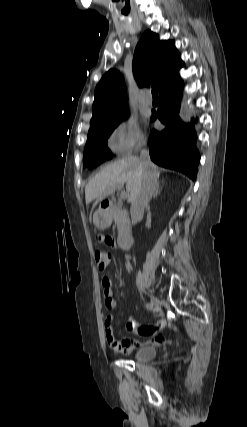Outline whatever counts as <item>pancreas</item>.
Returning a JSON list of instances; mask_svg holds the SVG:
<instances>
[{
	"instance_id": "obj_1",
	"label": "pancreas",
	"mask_w": 247,
	"mask_h": 427,
	"mask_svg": "<svg viewBox=\"0 0 247 427\" xmlns=\"http://www.w3.org/2000/svg\"><path fill=\"white\" fill-rule=\"evenodd\" d=\"M111 215L117 225L118 235L121 237L126 234L129 229V217L125 209H122L120 204L114 206Z\"/></svg>"
}]
</instances>
